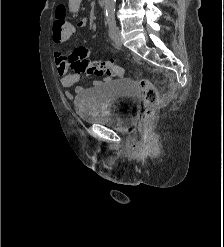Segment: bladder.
<instances>
[{"instance_id":"obj_1","label":"bladder","mask_w":224,"mask_h":247,"mask_svg":"<svg viewBox=\"0 0 224 247\" xmlns=\"http://www.w3.org/2000/svg\"><path fill=\"white\" fill-rule=\"evenodd\" d=\"M139 105L137 84L114 79L85 89L75 102V111L86 124L126 132L134 125Z\"/></svg>"}]
</instances>
